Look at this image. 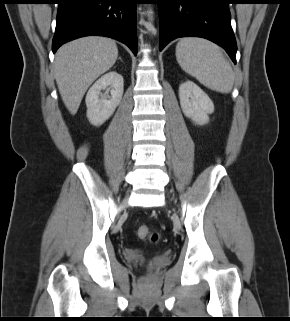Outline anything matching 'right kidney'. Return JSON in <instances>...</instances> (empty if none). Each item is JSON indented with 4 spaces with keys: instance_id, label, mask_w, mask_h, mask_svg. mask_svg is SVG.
<instances>
[{
    "instance_id": "obj_1",
    "label": "right kidney",
    "mask_w": 290,
    "mask_h": 321,
    "mask_svg": "<svg viewBox=\"0 0 290 321\" xmlns=\"http://www.w3.org/2000/svg\"><path fill=\"white\" fill-rule=\"evenodd\" d=\"M123 86V77L116 71L104 74L92 85L85 99L87 118L91 124L102 125L113 115L122 99Z\"/></svg>"
}]
</instances>
